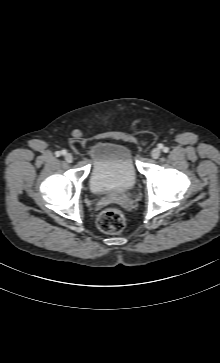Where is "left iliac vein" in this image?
Instances as JSON below:
<instances>
[{
	"mask_svg": "<svg viewBox=\"0 0 220 363\" xmlns=\"http://www.w3.org/2000/svg\"><path fill=\"white\" fill-rule=\"evenodd\" d=\"M161 154V151L159 148H154L152 151H151V156L152 158L154 159H157Z\"/></svg>",
	"mask_w": 220,
	"mask_h": 363,
	"instance_id": "left-iliac-vein-1",
	"label": "left iliac vein"
}]
</instances>
